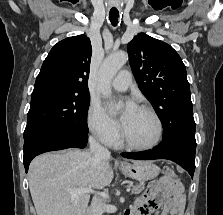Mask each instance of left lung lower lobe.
<instances>
[{"mask_svg": "<svg viewBox=\"0 0 223 215\" xmlns=\"http://www.w3.org/2000/svg\"><path fill=\"white\" fill-rule=\"evenodd\" d=\"M195 136L176 135L164 138L153 150L133 153H122L125 158L136 160L168 159L189 172L193 178L195 171Z\"/></svg>", "mask_w": 223, "mask_h": 215, "instance_id": "1", "label": "left lung lower lobe"}]
</instances>
